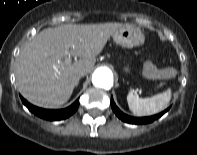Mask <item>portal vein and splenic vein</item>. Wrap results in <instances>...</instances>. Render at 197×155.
Wrapping results in <instances>:
<instances>
[{"label":"portal vein and splenic vein","mask_w":197,"mask_h":155,"mask_svg":"<svg viewBox=\"0 0 197 155\" xmlns=\"http://www.w3.org/2000/svg\"><path fill=\"white\" fill-rule=\"evenodd\" d=\"M71 61V59H70V57H68L67 59H66V62H70Z\"/></svg>","instance_id":"18ae733b"}]
</instances>
